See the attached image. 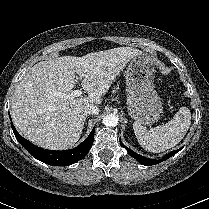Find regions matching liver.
<instances>
[{"label":"liver","instance_id":"liver-1","mask_svg":"<svg viewBox=\"0 0 209 209\" xmlns=\"http://www.w3.org/2000/svg\"><path fill=\"white\" fill-rule=\"evenodd\" d=\"M141 51L132 47L62 56L35 64L17 85L11 115L19 133L39 147L72 148L85 123L83 107L98 105L101 96L125 65ZM75 73L82 76L87 97H67L76 87Z\"/></svg>","mask_w":209,"mask_h":209}]
</instances>
